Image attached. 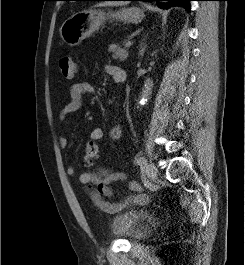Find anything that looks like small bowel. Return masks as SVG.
I'll return each mask as SVG.
<instances>
[{"label": "small bowel", "mask_w": 245, "mask_h": 265, "mask_svg": "<svg viewBox=\"0 0 245 265\" xmlns=\"http://www.w3.org/2000/svg\"><path fill=\"white\" fill-rule=\"evenodd\" d=\"M105 72L110 75L117 83L124 82L126 73L120 67L107 65ZM95 89L92 84L86 81H79L70 87V101L62 108L59 114V120L64 122L66 117L76 112L82 106V101L85 96L92 95ZM104 136V131L100 127H95L90 132L89 142L97 143ZM121 136V128L116 126L111 131V137L115 140ZM60 147L65 149L69 146L67 138L61 136L59 138ZM66 173L70 177L77 175V170L74 165H69ZM79 181L83 185L85 192L90 196L93 204L100 210L106 213H116L123 210L129 204L144 205L149 202V197L143 192L140 183L134 180H128L127 176L122 172H113L106 167H100L95 171H86L79 175ZM115 182H122L126 187L133 192L123 200L108 201L103 196L113 197L111 185Z\"/></svg>", "instance_id": "1"}]
</instances>
